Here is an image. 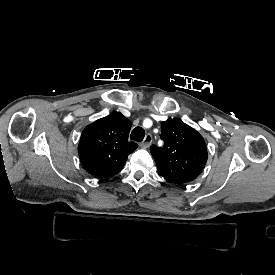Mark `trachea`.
Returning <instances> with one entry per match:
<instances>
[{
    "label": "trachea",
    "mask_w": 275,
    "mask_h": 275,
    "mask_svg": "<svg viewBox=\"0 0 275 275\" xmlns=\"http://www.w3.org/2000/svg\"><path fill=\"white\" fill-rule=\"evenodd\" d=\"M145 137V130L142 127H136L132 130L130 139L134 141H142Z\"/></svg>",
    "instance_id": "3493384b"
}]
</instances>
